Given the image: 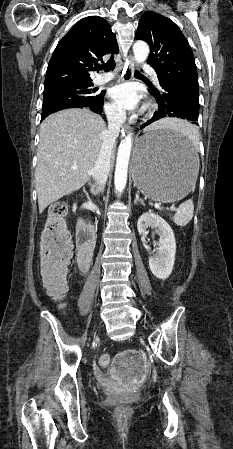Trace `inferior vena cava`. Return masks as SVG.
<instances>
[{"label": "inferior vena cava", "instance_id": "602c4592", "mask_svg": "<svg viewBox=\"0 0 233 449\" xmlns=\"http://www.w3.org/2000/svg\"><path fill=\"white\" fill-rule=\"evenodd\" d=\"M108 130L98 155L92 176L98 185V192L103 191L109 172L113 147L119 135L120 128L125 120V113L120 110H112L107 115Z\"/></svg>", "mask_w": 233, "mask_h": 449}]
</instances>
